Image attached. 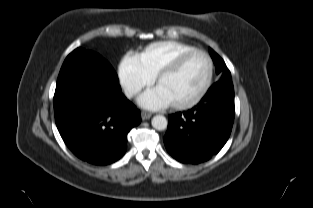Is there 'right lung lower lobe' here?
I'll return each mask as SVG.
<instances>
[{"mask_svg":"<svg viewBox=\"0 0 313 208\" xmlns=\"http://www.w3.org/2000/svg\"><path fill=\"white\" fill-rule=\"evenodd\" d=\"M55 121L68 148L80 159L106 165L127 149V134L141 122L112 66L97 53L77 49L65 59L54 95Z\"/></svg>","mask_w":313,"mask_h":208,"instance_id":"obj_1","label":"right lung lower lobe"}]
</instances>
